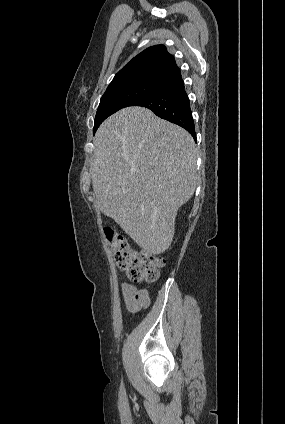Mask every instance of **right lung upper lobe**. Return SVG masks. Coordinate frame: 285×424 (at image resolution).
Masks as SVG:
<instances>
[{"label":"right lung upper lobe","mask_w":285,"mask_h":424,"mask_svg":"<svg viewBox=\"0 0 285 424\" xmlns=\"http://www.w3.org/2000/svg\"><path fill=\"white\" fill-rule=\"evenodd\" d=\"M174 57L164 45L149 47L135 56L113 78L107 89L137 83L159 82L165 84L180 77Z\"/></svg>","instance_id":"1"}]
</instances>
